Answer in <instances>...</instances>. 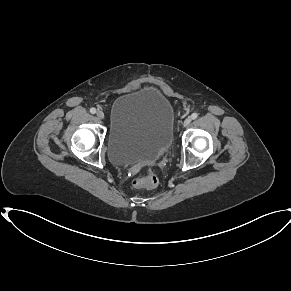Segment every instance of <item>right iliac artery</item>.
Instances as JSON below:
<instances>
[{
    "label": "right iliac artery",
    "instance_id": "obj_1",
    "mask_svg": "<svg viewBox=\"0 0 291 291\" xmlns=\"http://www.w3.org/2000/svg\"><path fill=\"white\" fill-rule=\"evenodd\" d=\"M90 112H91L92 114H95V113H96V109H95V108H91V109H90Z\"/></svg>",
    "mask_w": 291,
    "mask_h": 291
}]
</instances>
